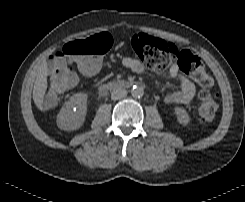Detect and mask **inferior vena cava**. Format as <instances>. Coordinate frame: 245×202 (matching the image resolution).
Masks as SVG:
<instances>
[{
    "instance_id": "602c4592",
    "label": "inferior vena cava",
    "mask_w": 245,
    "mask_h": 202,
    "mask_svg": "<svg viewBox=\"0 0 245 202\" xmlns=\"http://www.w3.org/2000/svg\"><path fill=\"white\" fill-rule=\"evenodd\" d=\"M127 95V91L123 88H116L111 92V98L113 100L122 99Z\"/></svg>"
}]
</instances>
